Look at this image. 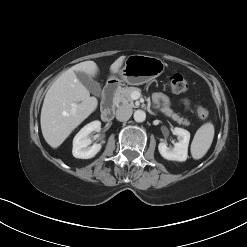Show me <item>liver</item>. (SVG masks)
Segmentation results:
<instances>
[{
  "label": "liver",
  "mask_w": 247,
  "mask_h": 247,
  "mask_svg": "<svg viewBox=\"0 0 247 247\" xmlns=\"http://www.w3.org/2000/svg\"><path fill=\"white\" fill-rule=\"evenodd\" d=\"M124 59V56L118 58L110 66V71L117 73ZM77 72L95 76L99 68L93 61L72 66L52 84L44 98L41 130L52 148H58L98 106V100L90 96L88 89L77 78ZM74 104L77 106L74 107Z\"/></svg>",
  "instance_id": "obj_1"
}]
</instances>
